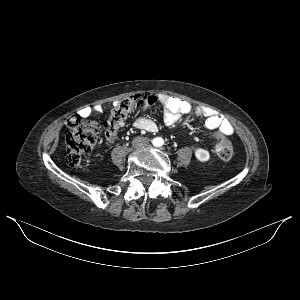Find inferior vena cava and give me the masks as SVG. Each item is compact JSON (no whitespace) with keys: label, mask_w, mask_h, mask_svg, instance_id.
<instances>
[{"label":"inferior vena cava","mask_w":300,"mask_h":300,"mask_svg":"<svg viewBox=\"0 0 300 300\" xmlns=\"http://www.w3.org/2000/svg\"><path fill=\"white\" fill-rule=\"evenodd\" d=\"M132 144L134 147H145L148 145V139L146 137H136L133 139Z\"/></svg>","instance_id":"1"}]
</instances>
